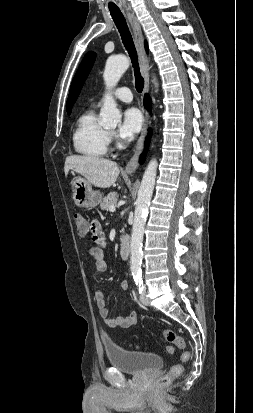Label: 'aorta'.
<instances>
[{
    "instance_id": "1",
    "label": "aorta",
    "mask_w": 253,
    "mask_h": 413,
    "mask_svg": "<svg viewBox=\"0 0 253 413\" xmlns=\"http://www.w3.org/2000/svg\"><path fill=\"white\" fill-rule=\"evenodd\" d=\"M129 64V59L124 55L108 58L103 74L106 89L108 91L117 85L122 75L128 69ZM155 84L157 85V83ZM100 116L102 125L107 127H116L121 121V113L117 108L116 102L109 93L105 94L104 104L101 108ZM157 165L156 159L150 160L143 174L138 191L130 241V264L131 271L134 273L141 271L144 226L148 214V206L154 190Z\"/></svg>"
}]
</instances>
